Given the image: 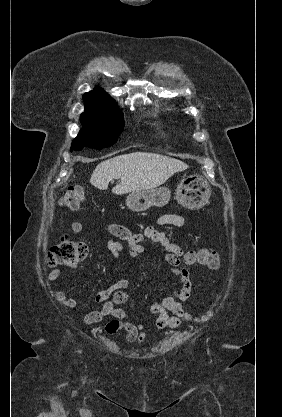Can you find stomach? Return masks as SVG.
Listing matches in <instances>:
<instances>
[{"label": "stomach", "instance_id": "stomach-1", "mask_svg": "<svg viewBox=\"0 0 282 417\" xmlns=\"http://www.w3.org/2000/svg\"><path fill=\"white\" fill-rule=\"evenodd\" d=\"M194 192V194H192ZM176 200L178 204L185 206V209H202L207 204L211 188L204 176L191 174L189 178H182L180 184L176 188ZM171 192L167 186H159V188H148V190H134L126 196V204L131 211H147L150 206H164L169 202Z\"/></svg>", "mask_w": 282, "mask_h": 417}]
</instances>
